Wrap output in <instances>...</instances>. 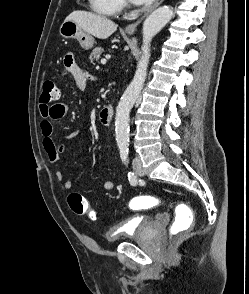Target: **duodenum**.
Masks as SVG:
<instances>
[{
	"label": "duodenum",
	"mask_w": 249,
	"mask_h": 294,
	"mask_svg": "<svg viewBox=\"0 0 249 294\" xmlns=\"http://www.w3.org/2000/svg\"><path fill=\"white\" fill-rule=\"evenodd\" d=\"M113 118V108L111 105H107L99 113V121L103 126H109Z\"/></svg>",
	"instance_id": "1"
}]
</instances>
